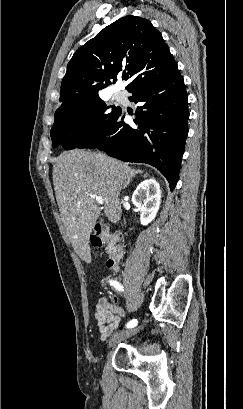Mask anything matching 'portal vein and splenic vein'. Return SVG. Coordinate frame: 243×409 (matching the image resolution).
<instances>
[{
  "label": "portal vein and splenic vein",
  "mask_w": 243,
  "mask_h": 409,
  "mask_svg": "<svg viewBox=\"0 0 243 409\" xmlns=\"http://www.w3.org/2000/svg\"><path fill=\"white\" fill-rule=\"evenodd\" d=\"M85 195L95 199L98 204L102 205L104 203V200H103V198L101 196H97V195H93V194H89V193H85Z\"/></svg>",
  "instance_id": "1"
}]
</instances>
